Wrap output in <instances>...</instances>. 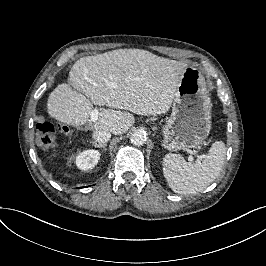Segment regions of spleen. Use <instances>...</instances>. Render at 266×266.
I'll return each mask as SVG.
<instances>
[{
	"label": "spleen",
	"instance_id": "spleen-1",
	"mask_svg": "<svg viewBox=\"0 0 266 266\" xmlns=\"http://www.w3.org/2000/svg\"><path fill=\"white\" fill-rule=\"evenodd\" d=\"M226 146L216 141L201 163L187 162L180 154L169 153L163 159V173L169 187L178 194H197L205 190L221 173Z\"/></svg>",
	"mask_w": 266,
	"mask_h": 266
}]
</instances>
